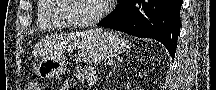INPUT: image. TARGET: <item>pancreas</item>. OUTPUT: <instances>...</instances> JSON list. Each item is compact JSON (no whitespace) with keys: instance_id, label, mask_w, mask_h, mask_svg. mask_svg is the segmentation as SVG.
<instances>
[{"instance_id":"pancreas-1","label":"pancreas","mask_w":216,"mask_h":90,"mask_svg":"<svg viewBox=\"0 0 216 90\" xmlns=\"http://www.w3.org/2000/svg\"><path fill=\"white\" fill-rule=\"evenodd\" d=\"M95 74L96 70H94V68H90V66L89 68H84V70H79V68H77L75 72L76 78H79L83 84H90L94 78H97Z\"/></svg>"}]
</instances>
